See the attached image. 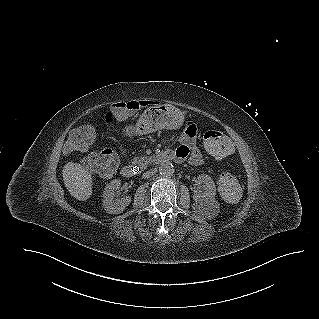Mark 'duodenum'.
<instances>
[{
  "label": "duodenum",
  "mask_w": 319,
  "mask_h": 319,
  "mask_svg": "<svg viewBox=\"0 0 319 319\" xmlns=\"http://www.w3.org/2000/svg\"><path fill=\"white\" fill-rule=\"evenodd\" d=\"M175 158V155L172 151H165L159 154H156L154 156H152L151 160H150V165L151 166H157L161 163L167 162L169 160H172ZM136 167L132 164H126L122 167V175L124 177H133L136 174Z\"/></svg>",
  "instance_id": "1"
}]
</instances>
